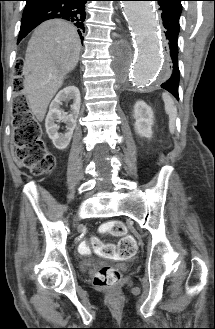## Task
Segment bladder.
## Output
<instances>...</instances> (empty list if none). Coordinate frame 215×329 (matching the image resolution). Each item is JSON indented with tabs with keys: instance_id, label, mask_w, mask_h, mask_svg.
<instances>
[{
	"instance_id": "obj_1",
	"label": "bladder",
	"mask_w": 215,
	"mask_h": 329,
	"mask_svg": "<svg viewBox=\"0 0 215 329\" xmlns=\"http://www.w3.org/2000/svg\"><path fill=\"white\" fill-rule=\"evenodd\" d=\"M93 265V262L90 261V260H83L81 263H80V269L82 271H87L89 270Z\"/></svg>"
}]
</instances>
